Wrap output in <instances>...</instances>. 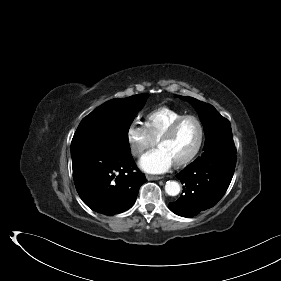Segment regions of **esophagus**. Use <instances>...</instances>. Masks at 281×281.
Returning <instances> with one entry per match:
<instances>
[{
  "label": "esophagus",
  "mask_w": 281,
  "mask_h": 281,
  "mask_svg": "<svg viewBox=\"0 0 281 281\" xmlns=\"http://www.w3.org/2000/svg\"><path fill=\"white\" fill-rule=\"evenodd\" d=\"M146 178H147V180H149V181L162 179L161 176H153V175H147Z\"/></svg>",
  "instance_id": "esophagus-1"
}]
</instances>
